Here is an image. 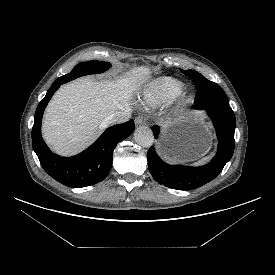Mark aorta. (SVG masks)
<instances>
[{
	"label": "aorta",
	"mask_w": 275,
	"mask_h": 275,
	"mask_svg": "<svg viewBox=\"0 0 275 275\" xmlns=\"http://www.w3.org/2000/svg\"><path fill=\"white\" fill-rule=\"evenodd\" d=\"M134 139L142 147L148 148L153 144L154 135L147 126H140L135 130Z\"/></svg>",
	"instance_id": "obj_1"
}]
</instances>
